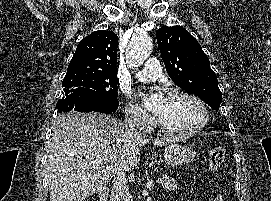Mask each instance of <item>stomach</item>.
<instances>
[{
  "label": "stomach",
  "mask_w": 271,
  "mask_h": 201,
  "mask_svg": "<svg viewBox=\"0 0 271 201\" xmlns=\"http://www.w3.org/2000/svg\"><path fill=\"white\" fill-rule=\"evenodd\" d=\"M197 153L193 148L179 145V144H171L164 150V161L166 164L171 166L184 165L192 162Z\"/></svg>",
  "instance_id": "stomach-1"
}]
</instances>
